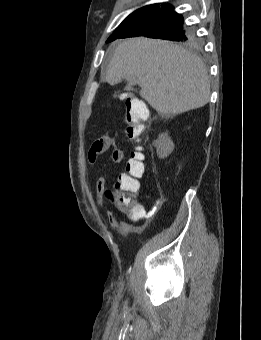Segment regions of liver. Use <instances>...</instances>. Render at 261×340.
Here are the masks:
<instances>
[{"mask_svg": "<svg viewBox=\"0 0 261 340\" xmlns=\"http://www.w3.org/2000/svg\"><path fill=\"white\" fill-rule=\"evenodd\" d=\"M136 80L140 96L160 115H176L206 105L210 97L208 72L188 50L169 41L137 37L116 47L106 82Z\"/></svg>", "mask_w": 261, "mask_h": 340, "instance_id": "1", "label": "liver"}]
</instances>
